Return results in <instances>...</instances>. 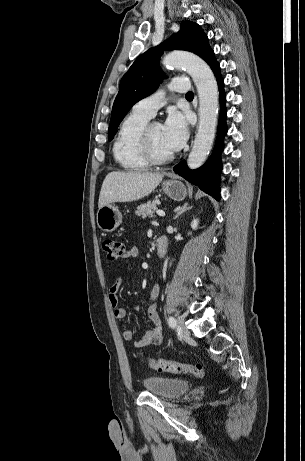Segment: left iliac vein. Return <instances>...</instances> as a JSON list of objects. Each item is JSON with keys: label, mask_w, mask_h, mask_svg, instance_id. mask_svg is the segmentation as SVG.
Wrapping results in <instances>:
<instances>
[{"label": "left iliac vein", "mask_w": 305, "mask_h": 461, "mask_svg": "<svg viewBox=\"0 0 305 461\" xmlns=\"http://www.w3.org/2000/svg\"><path fill=\"white\" fill-rule=\"evenodd\" d=\"M178 322V331L182 338H188L190 336V331L185 325V319L182 316L177 318Z\"/></svg>", "instance_id": "left-iliac-vein-1"}]
</instances>
